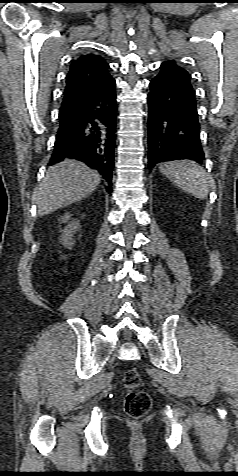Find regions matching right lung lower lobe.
Segmentation results:
<instances>
[{"instance_id":"obj_1","label":"right lung lower lobe","mask_w":238,"mask_h":476,"mask_svg":"<svg viewBox=\"0 0 238 476\" xmlns=\"http://www.w3.org/2000/svg\"><path fill=\"white\" fill-rule=\"evenodd\" d=\"M116 111L115 80L112 77L84 101L60 110L51 164L64 158L80 160L97 169L111 186Z\"/></svg>"}]
</instances>
